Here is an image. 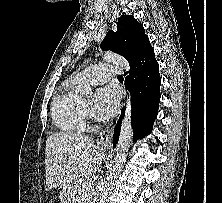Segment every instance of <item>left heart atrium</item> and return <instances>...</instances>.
<instances>
[{"label": "left heart atrium", "instance_id": "1", "mask_svg": "<svg viewBox=\"0 0 222 203\" xmlns=\"http://www.w3.org/2000/svg\"><path fill=\"white\" fill-rule=\"evenodd\" d=\"M119 106L118 91L112 86L99 88L95 96V111L102 116H112Z\"/></svg>", "mask_w": 222, "mask_h": 203}]
</instances>
